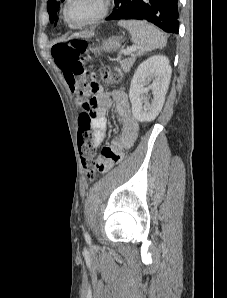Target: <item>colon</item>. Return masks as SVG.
Masks as SVG:
<instances>
[{
  "mask_svg": "<svg viewBox=\"0 0 227 298\" xmlns=\"http://www.w3.org/2000/svg\"><path fill=\"white\" fill-rule=\"evenodd\" d=\"M87 49L86 41L69 39L56 43L52 47V56L63 71L65 80L70 90L76 95L77 103L82 110L79 119L78 148L82 154V164L87 171V176L92 178L95 162L92 147L93 137L90 129L95 115L89 114V111L92 110L91 104H94L89 103V82H95V80H91V72L96 71H85L83 68V57ZM98 74L106 84L110 85L116 82V76L109 68H100Z\"/></svg>",
  "mask_w": 227,
  "mask_h": 298,
  "instance_id": "colon-1",
  "label": "colon"
}]
</instances>
